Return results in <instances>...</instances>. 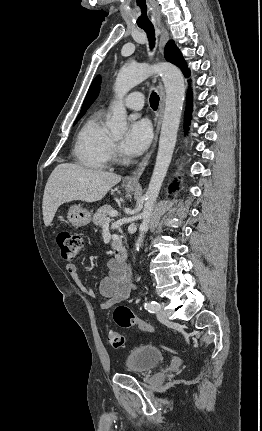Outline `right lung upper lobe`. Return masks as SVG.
<instances>
[{
  "label": "right lung upper lobe",
  "instance_id": "right-lung-upper-lobe-1",
  "mask_svg": "<svg viewBox=\"0 0 262 431\" xmlns=\"http://www.w3.org/2000/svg\"><path fill=\"white\" fill-rule=\"evenodd\" d=\"M100 90V77H96V79L92 82L88 93L86 95V98L84 100V103L81 108V112L79 115H84L86 110L90 107V105L94 102V100L97 98ZM78 115V116H79Z\"/></svg>",
  "mask_w": 262,
  "mask_h": 431
}]
</instances>
